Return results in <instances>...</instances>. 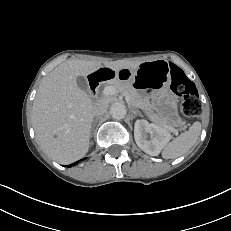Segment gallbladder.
I'll list each match as a JSON object with an SVG mask.
<instances>
[{"label": "gallbladder", "mask_w": 231, "mask_h": 231, "mask_svg": "<svg viewBox=\"0 0 231 231\" xmlns=\"http://www.w3.org/2000/svg\"><path fill=\"white\" fill-rule=\"evenodd\" d=\"M77 85L79 88H81L84 91H88L89 89L88 82L84 77L81 76L77 77Z\"/></svg>", "instance_id": "bac80fb5"}]
</instances>
